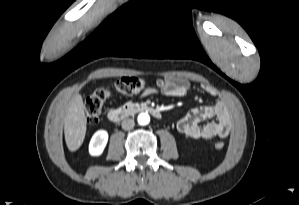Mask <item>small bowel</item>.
<instances>
[{
    "label": "small bowel",
    "instance_id": "obj_1",
    "mask_svg": "<svg viewBox=\"0 0 299 205\" xmlns=\"http://www.w3.org/2000/svg\"><path fill=\"white\" fill-rule=\"evenodd\" d=\"M166 86L162 93L171 97L185 96L190 87V82L184 77H167ZM203 90L210 96L216 97L215 89L208 85ZM156 92L155 88H147L141 96H148ZM209 120L204 125L200 122ZM177 129L183 135L193 139L211 140L214 138H225L231 130V117L226 102L217 100L213 105L201 106L189 112L177 123Z\"/></svg>",
    "mask_w": 299,
    "mask_h": 205
}]
</instances>
